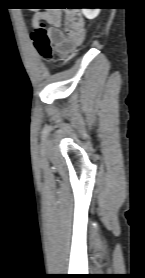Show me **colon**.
<instances>
[{
    "instance_id": "obj_1",
    "label": "colon",
    "mask_w": 145,
    "mask_h": 278,
    "mask_svg": "<svg viewBox=\"0 0 145 278\" xmlns=\"http://www.w3.org/2000/svg\"><path fill=\"white\" fill-rule=\"evenodd\" d=\"M71 8L78 9L79 5H72ZM32 9H41L38 6L33 7ZM50 9V8H47ZM39 54L45 61H50L52 58V47L47 34V25L44 22V19H39L38 28L34 31L32 36Z\"/></svg>"
}]
</instances>
